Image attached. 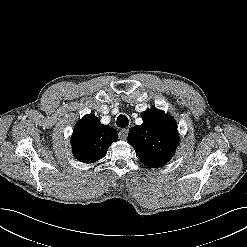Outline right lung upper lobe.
I'll list each match as a JSON object with an SVG mask.
<instances>
[{
	"label": "right lung upper lobe",
	"mask_w": 247,
	"mask_h": 247,
	"mask_svg": "<svg viewBox=\"0 0 247 247\" xmlns=\"http://www.w3.org/2000/svg\"><path fill=\"white\" fill-rule=\"evenodd\" d=\"M117 131L92 115H85L75 126L71 146L76 159L93 163L103 158L112 142L117 141Z\"/></svg>",
	"instance_id": "1"
}]
</instances>
